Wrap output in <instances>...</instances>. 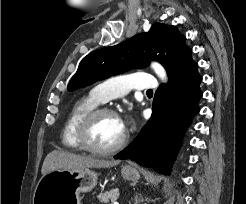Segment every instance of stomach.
<instances>
[{"instance_id":"obj_1","label":"stomach","mask_w":246,"mask_h":204,"mask_svg":"<svg viewBox=\"0 0 246 204\" xmlns=\"http://www.w3.org/2000/svg\"><path fill=\"white\" fill-rule=\"evenodd\" d=\"M121 175L132 182L140 178L139 171L131 166L122 167ZM97 179L98 174L89 168L51 171L39 180L33 204H80V193L90 192Z\"/></svg>"}]
</instances>
